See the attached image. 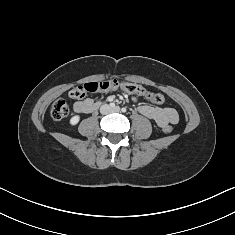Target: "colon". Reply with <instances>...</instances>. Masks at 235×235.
I'll list each match as a JSON object with an SVG mask.
<instances>
[{
	"label": "colon",
	"mask_w": 235,
	"mask_h": 235,
	"mask_svg": "<svg viewBox=\"0 0 235 235\" xmlns=\"http://www.w3.org/2000/svg\"><path fill=\"white\" fill-rule=\"evenodd\" d=\"M111 90H121L126 93L143 96L154 104L161 105L165 102V97L160 93H155L147 90L143 86L131 82H119L116 79L90 81L83 85L73 88L69 92V96L73 99H83L87 94L106 92ZM69 112L66 101L62 98L57 99L51 107V115L55 120L64 119ZM164 133L172 132L171 126H166L163 129Z\"/></svg>",
	"instance_id": "5ec220e1"
}]
</instances>
